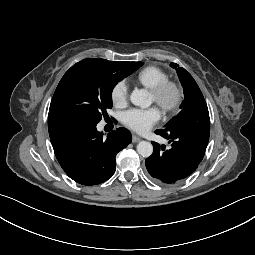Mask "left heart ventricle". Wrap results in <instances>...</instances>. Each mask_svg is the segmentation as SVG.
<instances>
[{"label":"left heart ventricle","instance_id":"b2bd125f","mask_svg":"<svg viewBox=\"0 0 255 255\" xmlns=\"http://www.w3.org/2000/svg\"><path fill=\"white\" fill-rule=\"evenodd\" d=\"M151 100L155 101V97H154V95L152 93H151Z\"/></svg>","mask_w":255,"mask_h":255}]
</instances>
